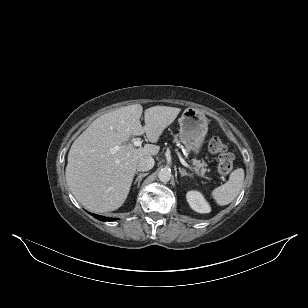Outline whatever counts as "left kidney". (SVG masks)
I'll return each mask as SVG.
<instances>
[{
    "label": "left kidney",
    "mask_w": 308,
    "mask_h": 308,
    "mask_svg": "<svg viewBox=\"0 0 308 308\" xmlns=\"http://www.w3.org/2000/svg\"><path fill=\"white\" fill-rule=\"evenodd\" d=\"M190 207L198 213H209L211 208L203 195L198 191H190L186 195Z\"/></svg>",
    "instance_id": "5707ae66"
}]
</instances>
